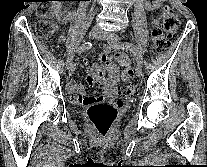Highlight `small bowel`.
Here are the masks:
<instances>
[{
    "label": "small bowel",
    "instance_id": "1",
    "mask_svg": "<svg viewBox=\"0 0 207 167\" xmlns=\"http://www.w3.org/2000/svg\"><path fill=\"white\" fill-rule=\"evenodd\" d=\"M159 0H151V2H158ZM152 8V7H149ZM153 25L158 26V19L153 20ZM123 57V59H122ZM118 59L120 63L124 66L123 78L129 79L132 75V67L128 58L119 54ZM101 61L104 62L102 65H92L87 69V79L92 86H97L102 90V94L107 96H113L116 92V87L118 83L119 69L113 58L110 56V49L101 56ZM104 68L108 72V78H105L103 70ZM66 94L68 100L75 105H91L100 99V95L87 96L85 89L82 85H76L72 83H67Z\"/></svg>",
    "mask_w": 207,
    "mask_h": 167
}]
</instances>
